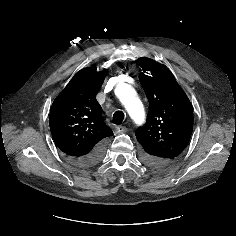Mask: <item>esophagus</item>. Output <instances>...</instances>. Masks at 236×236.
<instances>
[{"label": "esophagus", "instance_id": "obj_1", "mask_svg": "<svg viewBox=\"0 0 236 236\" xmlns=\"http://www.w3.org/2000/svg\"><path fill=\"white\" fill-rule=\"evenodd\" d=\"M115 130H116V133L121 134V133H125L127 131V128L124 126H117Z\"/></svg>", "mask_w": 236, "mask_h": 236}]
</instances>
